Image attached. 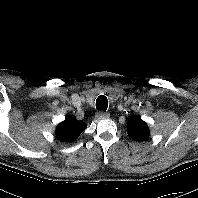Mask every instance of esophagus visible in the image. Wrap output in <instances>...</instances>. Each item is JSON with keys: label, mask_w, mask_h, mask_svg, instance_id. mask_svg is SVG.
Instances as JSON below:
<instances>
[{"label": "esophagus", "mask_w": 198, "mask_h": 198, "mask_svg": "<svg viewBox=\"0 0 198 198\" xmlns=\"http://www.w3.org/2000/svg\"><path fill=\"white\" fill-rule=\"evenodd\" d=\"M109 116H110L109 113H106V112H103V111H99V112L95 115L96 119H98V120L107 119V118H109Z\"/></svg>", "instance_id": "obj_1"}]
</instances>
